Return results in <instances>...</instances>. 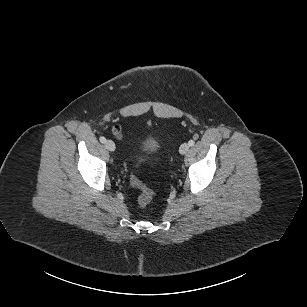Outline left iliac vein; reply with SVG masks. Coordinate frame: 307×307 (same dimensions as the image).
Listing matches in <instances>:
<instances>
[{
  "instance_id": "1",
  "label": "left iliac vein",
  "mask_w": 307,
  "mask_h": 307,
  "mask_svg": "<svg viewBox=\"0 0 307 307\" xmlns=\"http://www.w3.org/2000/svg\"><path fill=\"white\" fill-rule=\"evenodd\" d=\"M189 150V144L188 143H183L180 148H179V152L180 154L184 155L188 152Z\"/></svg>"
}]
</instances>
